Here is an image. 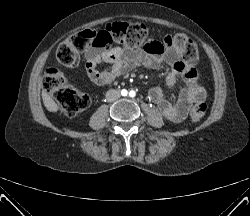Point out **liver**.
<instances>
[{"label": "liver", "instance_id": "obj_1", "mask_svg": "<svg viewBox=\"0 0 250 216\" xmlns=\"http://www.w3.org/2000/svg\"><path fill=\"white\" fill-rule=\"evenodd\" d=\"M42 99L44 106L46 109L50 112H57L58 111V105L55 103V101L48 95L46 91H42Z\"/></svg>", "mask_w": 250, "mask_h": 216}]
</instances>
